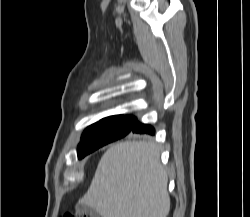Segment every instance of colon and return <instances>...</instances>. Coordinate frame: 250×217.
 Returning <instances> with one entry per match:
<instances>
[{"label": "colon", "mask_w": 250, "mask_h": 217, "mask_svg": "<svg viewBox=\"0 0 250 217\" xmlns=\"http://www.w3.org/2000/svg\"><path fill=\"white\" fill-rule=\"evenodd\" d=\"M63 217H88V216L84 213H80L77 211H69Z\"/></svg>", "instance_id": "colon-1"}]
</instances>
